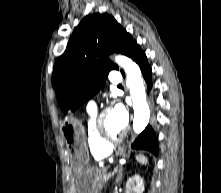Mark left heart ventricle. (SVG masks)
Returning <instances> with one entry per match:
<instances>
[{"mask_svg":"<svg viewBox=\"0 0 221 193\" xmlns=\"http://www.w3.org/2000/svg\"><path fill=\"white\" fill-rule=\"evenodd\" d=\"M103 124L108 136H119L125 129L119 124L112 111L106 114Z\"/></svg>","mask_w":221,"mask_h":193,"instance_id":"1","label":"left heart ventricle"}]
</instances>
